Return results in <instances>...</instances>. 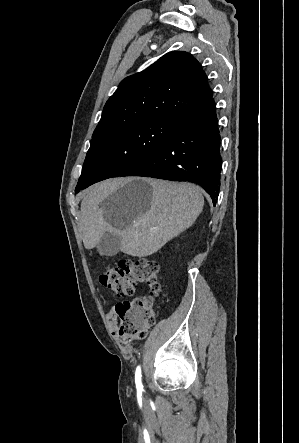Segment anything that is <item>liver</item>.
<instances>
[{
  "label": "liver",
  "instance_id": "obj_1",
  "mask_svg": "<svg viewBox=\"0 0 299 443\" xmlns=\"http://www.w3.org/2000/svg\"><path fill=\"white\" fill-rule=\"evenodd\" d=\"M203 206L201 190L193 184L152 178L105 180L84 192L80 214L84 247L94 248L111 233L121 238V252L152 255L191 227Z\"/></svg>",
  "mask_w": 299,
  "mask_h": 443
}]
</instances>
